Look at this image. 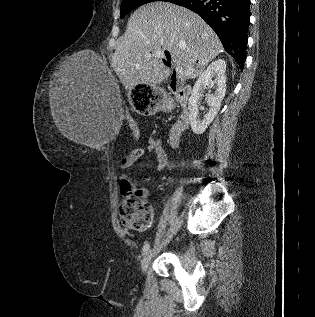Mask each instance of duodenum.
I'll list each match as a JSON object with an SVG mask.
<instances>
[{
    "instance_id": "duodenum-1",
    "label": "duodenum",
    "mask_w": 315,
    "mask_h": 317,
    "mask_svg": "<svg viewBox=\"0 0 315 317\" xmlns=\"http://www.w3.org/2000/svg\"><path fill=\"white\" fill-rule=\"evenodd\" d=\"M170 89L171 91L177 95L178 100L182 106L181 112L175 122V124L172 127L171 130V144L175 145L179 139V136L181 133L186 130L189 126V113L186 108V100L187 96L186 94L182 91L181 85H180V80L176 75H173L171 80H170Z\"/></svg>"
}]
</instances>
